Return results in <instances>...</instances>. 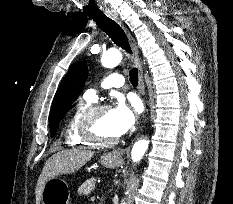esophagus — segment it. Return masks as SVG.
<instances>
[{
  "mask_svg": "<svg viewBox=\"0 0 233 204\" xmlns=\"http://www.w3.org/2000/svg\"><path fill=\"white\" fill-rule=\"evenodd\" d=\"M106 15L110 18H112L113 20L117 21L120 25H122V27L124 28L130 47L132 49V56L130 58V62L132 63V65L136 66L138 69V89L140 94L145 97L146 92H145V85H144V79H143V68H142V64L140 62L139 59V52H138V48L136 46V42L134 37L132 36V34L129 32V30L124 27V25L121 23V21L118 19L117 15L111 11V10H107L105 11ZM124 154V150L123 149H116L113 150L111 153H109V157L112 158H120L122 157V155Z\"/></svg>",
  "mask_w": 233,
  "mask_h": 204,
  "instance_id": "obj_1",
  "label": "esophagus"
}]
</instances>
